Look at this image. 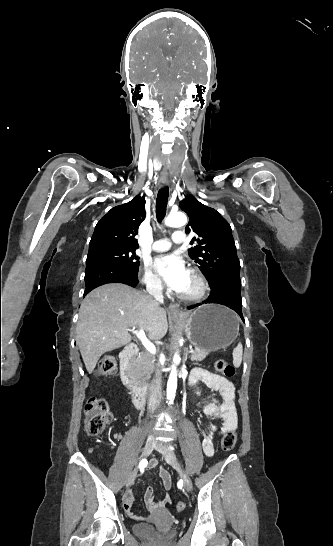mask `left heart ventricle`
Segmentation results:
<instances>
[{"instance_id":"1","label":"left heart ventricle","mask_w":333,"mask_h":546,"mask_svg":"<svg viewBox=\"0 0 333 546\" xmlns=\"http://www.w3.org/2000/svg\"><path fill=\"white\" fill-rule=\"evenodd\" d=\"M198 289H199V285H198L197 281L190 274L189 282H188L186 288L181 293L193 294V293L197 292Z\"/></svg>"}]
</instances>
